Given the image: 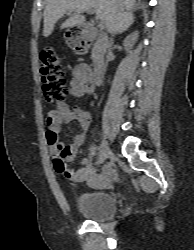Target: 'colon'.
Returning <instances> with one entry per match:
<instances>
[{
    "label": "colon",
    "instance_id": "colon-1",
    "mask_svg": "<svg viewBox=\"0 0 194 250\" xmlns=\"http://www.w3.org/2000/svg\"><path fill=\"white\" fill-rule=\"evenodd\" d=\"M40 66L45 98L51 103H65L67 82L61 70L60 58L53 47L49 46L42 49Z\"/></svg>",
    "mask_w": 194,
    "mask_h": 250
}]
</instances>
